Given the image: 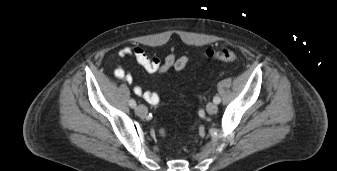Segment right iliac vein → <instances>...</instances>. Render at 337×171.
Here are the masks:
<instances>
[{"label": "right iliac vein", "mask_w": 337, "mask_h": 171, "mask_svg": "<svg viewBox=\"0 0 337 171\" xmlns=\"http://www.w3.org/2000/svg\"><path fill=\"white\" fill-rule=\"evenodd\" d=\"M148 112V109L144 106V105H139L136 107L135 109V113L138 115V116H145Z\"/></svg>", "instance_id": "right-iliac-vein-1"}]
</instances>
